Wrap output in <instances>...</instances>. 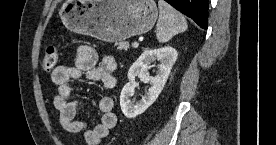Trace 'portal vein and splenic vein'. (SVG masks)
<instances>
[{"instance_id":"18ae733b","label":"portal vein and splenic vein","mask_w":276,"mask_h":145,"mask_svg":"<svg viewBox=\"0 0 276 145\" xmlns=\"http://www.w3.org/2000/svg\"><path fill=\"white\" fill-rule=\"evenodd\" d=\"M132 46H133V48H138L139 43H138V42H134V43L132 44Z\"/></svg>"}]
</instances>
